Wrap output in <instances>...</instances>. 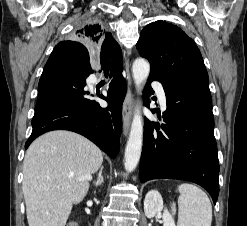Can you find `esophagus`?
I'll use <instances>...</instances> for the list:
<instances>
[{
    "instance_id": "obj_1",
    "label": "esophagus",
    "mask_w": 247,
    "mask_h": 226,
    "mask_svg": "<svg viewBox=\"0 0 247 226\" xmlns=\"http://www.w3.org/2000/svg\"><path fill=\"white\" fill-rule=\"evenodd\" d=\"M125 66L127 70L128 90L124 99L122 111H123V135L127 136L132 119L133 94L131 91L132 80L129 73L128 60L125 61Z\"/></svg>"
}]
</instances>
